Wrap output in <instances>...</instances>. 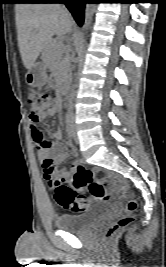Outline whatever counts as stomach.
Instances as JSON below:
<instances>
[{
	"mask_svg": "<svg viewBox=\"0 0 166 267\" xmlns=\"http://www.w3.org/2000/svg\"><path fill=\"white\" fill-rule=\"evenodd\" d=\"M25 81L31 87H42L48 81L47 66L42 62L35 63L25 74Z\"/></svg>",
	"mask_w": 166,
	"mask_h": 267,
	"instance_id": "1",
	"label": "stomach"
}]
</instances>
